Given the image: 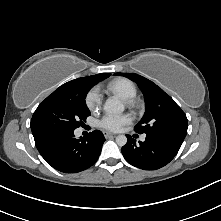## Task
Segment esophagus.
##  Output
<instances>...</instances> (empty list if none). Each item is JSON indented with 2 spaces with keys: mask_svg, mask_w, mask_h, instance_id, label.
Returning <instances> with one entry per match:
<instances>
[{
  "mask_svg": "<svg viewBox=\"0 0 221 221\" xmlns=\"http://www.w3.org/2000/svg\"><path fill=\"white\" fill-rule=\"evenodd\" d=\"M115 135H116V134L111 133V132H104L105 138L112 137V136H115Z\"/></svg>",
  "mask_w": 221,
  "mask_h": 221,
  "instance_id": "esophagus-1",
  "label": "esophagus"
}]
</instances>
